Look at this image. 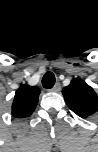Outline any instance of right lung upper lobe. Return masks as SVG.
Here are the masks:
<instances>
[{"label":"right lung upper lobe","instance_id":"obj_1","mask_svg":"<svg viewBox=\"0 0 98 152\" xmlns=\"http://www.w3.org/2000/svg\"><path fill=\"white\" fill-rule=\"evenodd\" d=\"M40 89L37 86L22 84L15 93L12 103V116L25 118L30 116L38 103Z\"/></svg>","mask_w":98,"mask_h":152}]
</instances>
